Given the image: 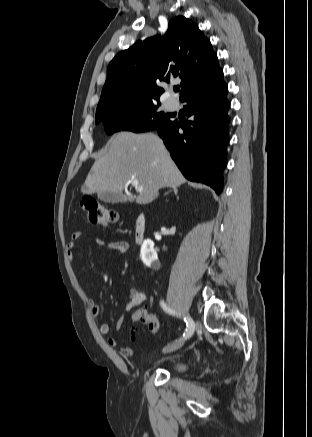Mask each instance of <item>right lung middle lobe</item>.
I'll list each match as a JSON object with an SVG mask.
<instances>
[{
	"label": "right lung middle lobe",
	"mask_w": 312,
	"mask_h": 437,
	"mask_svg": "<svg viewBox=\"0 0 312 437\" xmlns=\"http://www.w3.org/2000/svg\"><path fill=\"white\" fill-rule=\"evenodd\" d=\"M153 103L135 104L122 107L109 115L95 120L103 122L107 134L117 131H132L135 133L158 130L170 124V115L160 112Z\"/></svg>",
	"instance_id": "right-lung-middle-lobe-1"
}]
</instances>
